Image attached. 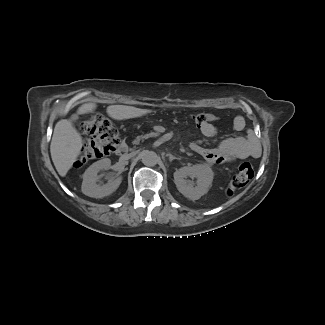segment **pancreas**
Segmentation results:
<instances>
[{
    "instance_id": "obj_1",
    "label": "pancreas",
    "mask_w": 325,
    "mask_h": 325,
    "mask_svg": "<svg viewBox=\"0 0 325 325\" xmlns=\"http://www.w3.org/2000/svg\"><path fill=\"white\" fill-rule=\"evenodd\" d=\"M153 136H155L154 133H151V132H145L143 134V136H140L138 138H134L132 140V143L136 146H139L141 143H143L145 141V139H151Z\"/></svg>"
}]
</instances>
